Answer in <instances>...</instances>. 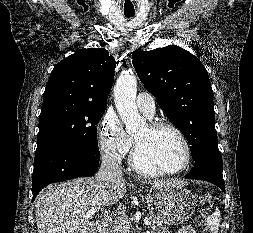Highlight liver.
I'll return each mask as SVG.
<instances>
[{
  "mask_svg": "<svg viewBox=\"0 0 253 233\" xmlns=\"http://www.w3.org/2000/svg\"><path fill=\"white\" fill-rule=\"evenodd\" d=\"M182 182H146L153 186ZM126 193L123 178L106 185L96 177L78 178L46 187L37 197L38 233H88L93 229L87 212L117 203Z\"/></svg>",
  "mask_w": 253,
  "mask_h": 233,
  "instance_id": "1",
  "label": "liver"
}]
</instances>
